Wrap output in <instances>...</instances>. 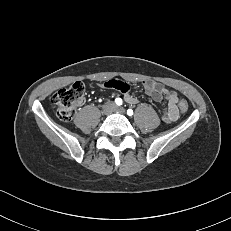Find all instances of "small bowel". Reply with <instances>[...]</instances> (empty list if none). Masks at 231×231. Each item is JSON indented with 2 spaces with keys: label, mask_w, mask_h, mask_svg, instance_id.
I'll list each match as a JSON object with an SVG mask.
<instances>
[{
  "label": "small bowel",
  "mask_w": 231,
  "mask_h": 231,
  "mask_svg": "<svg viewBox=\"0 0 231 231\" xmlns=\"http://www.w3.org/2000/svg\"><path fill=\"white\" fill-rule=\"evenodd\" d=\"M105 87L117 90L124 96V100L131 105L139 104L140 101L132 96L129 92V86L121 81L109 80L105 83ZM144 90L146 94L152 98L154 101H161L164 97L167 100L166 108L162 114L163 121L167 123L175 122L179 117L178 110V95L176 92L168 90L162 84L146 80L143 83Z\"/></svg>",
  "instance_id": "c3829d8e"
}]
</instances>
